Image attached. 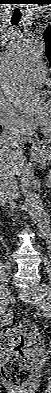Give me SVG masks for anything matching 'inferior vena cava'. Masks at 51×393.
<instances>
[{"mask_svg":"<svg viewBox=\"0 0 51 393\" xmlns=\"http://www.w3.org/2000/svg\"><path fill=\"white\" fill-rule=\"evenodd\" d=\"M1 141L6 149H12L15 153L22 154L24 145L19 130L14 126L4 129L1 135ZM0 197L3 200L13 201L19 197V188L14 175L1 174L0 176Z\"/></svg>","mask_w":51,"mask_h":393,"instance_id":"602c4592","label":"inferior vena cava"}]
</instances>
